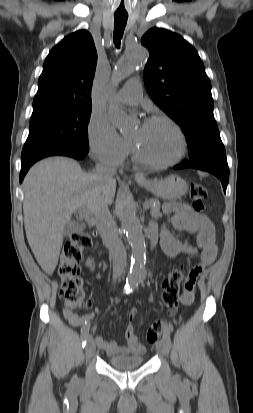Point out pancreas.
<instances>
[{"mask_svg":"<svg viewBox=\"0 0 253 413\" xmlns=\"http://www.w3.org/2000/svg\"><path fill=\"white\" fill-rule=\"evenodd\" d=\"M146 202L149 204L151 216L155 219H159L162 216L159 202L156 199H148Z\"/></svg>","mask_w":253,"mask_h":413,"instance_id":"cf45deb5","label":"pancreas"}]
</instances>
